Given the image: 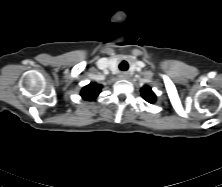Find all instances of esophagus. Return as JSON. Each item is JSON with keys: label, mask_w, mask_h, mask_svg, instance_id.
<instances>
[{"label": "esophagus", "mask_w": 222, "mask_h": 187, "mask_svg": "<svg viewBox=\"0 0 222 187\" xmlns=\"http://www.w3.org/2000/svg\"><path fill=\"white\" fill-rule=\"evenodd\" d=\"M121 79H125L126 78V75L124 73L120 74L119 76Z\"/></svg>", "instance_id": "esophagus-1"}]
</instances>
